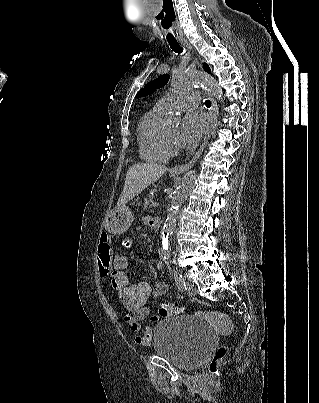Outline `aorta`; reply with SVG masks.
Listing matches in <instances>:
<instances>
[{"instance_id":"obj_1","label":"aorta","mask_w":319,"mask_h":403,"mask_svg":"<svg viewBox=\"0 0 319 403\" xmlns=\"http://www.w3.org/2000/svg\"><path fill=\"white\" fill-rule=\"evenodd\" d=\"M171 84L174 88H187V87H204L218 100L223 101L222 88L219 86L216 79L211 76L199 74V73H183L180 71H175L171 77ZM195 172L190 171L183 177L180 185L175 190L169 213L165 220L164 226L161 231V253L165 257H169L171 253L169 237L173 234L176 227V220L180 206L183 204L187 198L190 190L194 185Z\"/></svg>"}]
</instances>
